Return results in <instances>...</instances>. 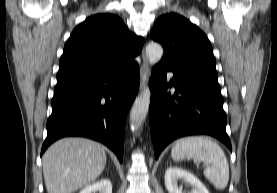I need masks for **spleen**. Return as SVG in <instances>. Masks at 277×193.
<instances>
[{"mask_svg": "<svg viewBox=\"0 0 277 193\" xmlns=\"http://www.w3.org/2000/svg\"><path fill=\"white\" fill-rule=\"evenodd\" d=\"M171 157L181 161L185 157L210 164L204 176L218 190H224L229 181V165L222 148L205 136H190L177 140L171 150Z\"/></svg>", "mask_w": 277, "mask_h": 193, "instance_id": "spleen-1", "label": "spleen"}]
</instances>
